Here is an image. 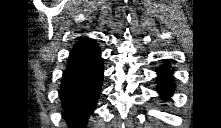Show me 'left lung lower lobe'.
I'll use <instances>...</instances> for the list:
<instances>
[{"label": "left lung lower lobe", "instance_id": "left-lung-lower-lobe-1", "mask_svg": "<svg viewBox=\"0 0 221 128\" xmlns=\"http://www.w3.org/2000/svg\"><path fill=\"white\" fill-rule=\"evenodd\" d=\"M170 66L166 64L158 69L157 90L164 100L168 99L174 91V82Z\"/></svg>", "mask_w": 221, "mask_h": 128}]
</instances>
